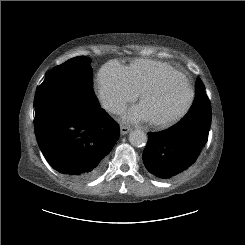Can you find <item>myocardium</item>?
Here are the masks:
<instances>
[{"label": "myocardium", "mask_w": 245, "mask_h": 245, "mask_svg": "<svg viewBox=\"0 0 245 245\" xmlns=\"http://www.w3.org/2000/svg\"><path fill=\"white\" fill-rule=\"evenodd\" d=\"M173 76H180L185 80V82L187 83L189 90H190V97H189L188 102L184 106V108L180 112L175 114L174 116H172L170 118H166V119L150 120L149 121L150 124H152L153 126L158 127V128L170 127V126L176 124L177 122H179L190 111V109L193 106V103L195 101V89H194V86H193L191 80L188 78L187 75H185L181 71L175 69V70H171L167 73L162 74L154 83H152L147 88H145L140 93V103H142L148 96L158 92L161 89V87L163 86V84L165 83V81L168 80L169 78L173 77Z\"/></svg>", "instance_id": "1"}]
</instances>
